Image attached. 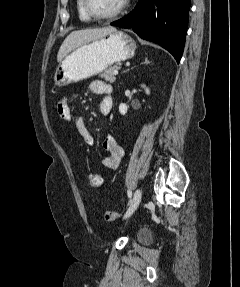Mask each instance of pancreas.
<instances>
[{"mask_svg": "<svg viewBox=\"0 0 240 287\" xmlns=\"http://www.w3.org/2000/svg\"><path fill=\"white\" fill-rule=\"evenodd\" d=\"M121 68V63H117L114 66L109 67L106 69L100 76L104 78L106 81L113 83L116 80L114 71Z\"/></svg>", "mask_w": 240, "mask_h": 287, "instance_id": "obj_1", "label": "pancreas"}]
</instances>
